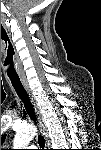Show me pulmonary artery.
I'll list each match as a JSON object with an SVG mask.
<instances>
[{
  "mask_svg": "<svg viewBox=\"0 0 101 150\" xmlns=\"http://www.w3.org/2000/svg\"><path fill=\"white\" fill-rule=\"evenodd\" d=\"M34 148H35V146H33V145H32V146H29V149H34Z\"/></svg>",
  "mask_w": 101,
  "mask_h": 150,
  "instance_id": "1",
  "label": "pulmonary artery"
}]
</instances>
